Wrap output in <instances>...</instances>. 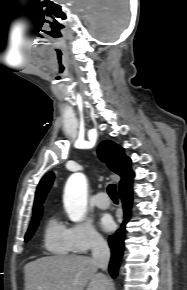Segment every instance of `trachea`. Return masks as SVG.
I'll return each mask as SVG.
<instances>
[{"instance_id":"1","label":"trachea","mask_w":187,"mask_h":290,"mask_svg":"<svg viewBox=\"0 0 187 290\" xmlns=\"http://www.w3.org/2000/svg\"><path fill=\"white\" fill-rule=\"evenodd\" d=\"M107 192H108L110 198H111L114 202H117V191H116V185H114V184H110V185L107 187Z\"/></svg>"}]
</instances>
